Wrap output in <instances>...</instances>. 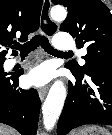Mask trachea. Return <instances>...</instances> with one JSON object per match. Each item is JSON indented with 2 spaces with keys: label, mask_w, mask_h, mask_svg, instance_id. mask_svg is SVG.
Returning a JSON list of instances; mask_svg holds the SVG:
<instances>
[{
  "label": "trachea",
  "mask_w": 112,
  "mask_h": 135,
  "mask_svg": "<svg viewBox=\"0 0 112 135\" xmlns=\"http://www.w3.org/2000/svg\"><path fill=\"white\" fill-rule=\"evenodd\" d=\"M47 8V2L45 3L44 9ZM41 44L42 48L49 54H59V55H68L70 53L61 52L54 49L49 43L48 39L45 36L36 35L30 41L25 42L24 44H15L13 49L19 50L21 55H26L31 51H34ZM15 52V51H14Z\"/></svg>",
  "instance_id": "trachea-1"
}]
</instances>
